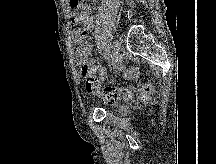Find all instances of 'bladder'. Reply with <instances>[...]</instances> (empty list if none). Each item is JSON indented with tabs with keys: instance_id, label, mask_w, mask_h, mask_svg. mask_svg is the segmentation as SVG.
<instances>
[{
	"instance_id": "1",
	"label": "bladder",
	"mask_w": 216,
	"mask_h": 164,
	"mask_svg": "<svg viewBox=\"0 0 216 164\" xmlns=\"http://www.w3.org/2000/svg\"><path fill=\"white\" fill-rule=\"evenodd\" d=\"M127 111H128V109L126 107H123V108L120 109V112H123V113H125Z\"/></svg>"
}]
</instances>
